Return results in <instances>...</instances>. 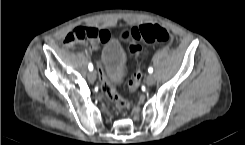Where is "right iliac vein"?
Returning a JSON list of instances; mask_svg holds the SVG:
<instances>
[{"label": "right iliac vein", "mask_w": 245, "mask_h": 145, "mask_svg": "<svg viewBox=\"0 0 245 145\" xmlns=\"http://www.w3.org/2000/svg\"><path fill=\"white\" fill-rule=\"evenodd\" d=\"M88 79H89V81H90L91 83L95 82V80H96V74H95L94 71L89 72V74H88Z\"/></svg>", "instance_id": "63e3f726"}]
</instances>
